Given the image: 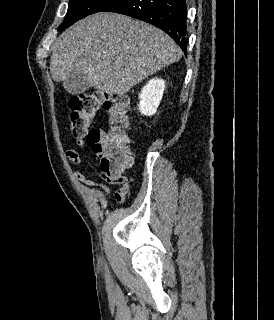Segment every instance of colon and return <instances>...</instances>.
<instances>
[{
	"instance_id": "obj_1",
	"label": "colon",
	"mask_w": 274,
	"mask_h": 320,
	"mask_svg": "<svg viewBox=\"0 0 274 320\" xmlns=\"http://www.w3.org/2000/svg\"><path fill=\"white\" fill-rule=\"evenodd\" d=\"M127 98L117 96L107 98L99 90L91 91L68 98L69 134H84L91 138L93 151L103 153L100 168L119 184L115 196H126L128 182L121 173L131 164V154L128 151L130 138L127 134L129 115H127ZM106 111L110 130H95L91 127V120H96L98 110Z\"/></svg>"
}]
</instances>
